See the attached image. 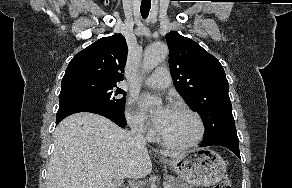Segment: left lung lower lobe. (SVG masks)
Listing matches in <instances>:
<instances>
[{"instance_id": "left-lung-lower-lobe-1", "label": "left lung lower lobe", "mask_w": 292, "mask_h": 188, "mask_svg": "<svg viewBox=\"0 0 292 188\" xmlns=\"http://www.w3.org/2000/svg\"><path fill=\"white\" fill-rule=\"evenodd\" d=\"M212 145L226 147L232 152H234L241 159L239 152V139L237 136L236 129L222 131L214 136L206 138L204 139V142L200 146L204 147Z\"/></svg>"}]
</instances>
